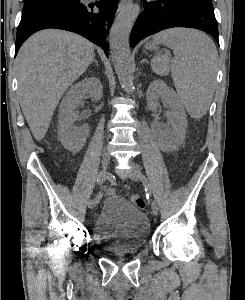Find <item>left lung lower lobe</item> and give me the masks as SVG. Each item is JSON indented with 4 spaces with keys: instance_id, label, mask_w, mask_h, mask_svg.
Returning a JSON list of instances; mask_svg holds the SVG:
<instances>
[{
    "instance_id": "obj_1",
    "label": "left lung lower lobe",
    "mask_w": 245,
    "mask_h": 300,
    "mask_svg": "<svg viewBox=\"0 0 245 300\" xmlns=\"http://www.w3.org/2000/svg\"><path fill=\"white\" fill-rule=\"evenodd\" d=\"M144 12L131 32V47L161 30L188 27L202 30L218 40V26L211 0H143Z\"/></svg>"
}]
</instances>
